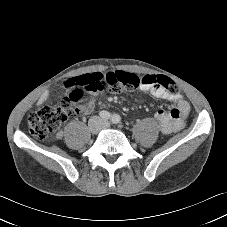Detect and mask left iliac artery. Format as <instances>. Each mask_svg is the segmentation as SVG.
I'll return each instance as SVG.
<instances>
[{
    "mask_svg": "<svg viewBox=\"0 0 227 227\" xmlns=\"http://www.w3.org/2000/svg\"><path fill=\"white\" fill-rule=\"evenodd\" d=\"M111 121H112V123H114V124H118V123H120L121 118H120V116H119L118 114H114V115H112V117H111Z\"/></svg>",
    "mask_w": 227,
    "mask_h": 227,
    "instance_id": "obj_1",
    "label": "left iliac artery"
}]
</instances>
